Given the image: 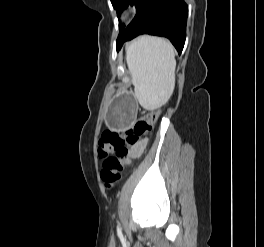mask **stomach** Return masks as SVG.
Segmentation results:
<instances>
[{
    "label": "stomach",
    "mask_w": 264,
    "mask_h": 247,
    "mask_svg": "<svg viewBox=\"0 0 264 247\" xmlns=\"http://www.w3.org/2000/svg\"><path fill=\"white\" fill-rule=\"evenodd\" d=\"M137 118L136 94H118L109 107L107 122L115 128L135 123Z\"/></svg>",
    "instance_id": "0dacf381"
}]
</instances>
